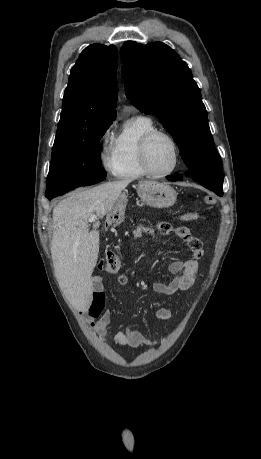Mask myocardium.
Wrapping results in <instances>:
<instances>
[{
	"mask_svg": "<svg viewBox=\"0 0 261 459\" xmlns=\"http://www.w3.org/2000/svg\"><path fill=\"white\" fill-rule=\"evenodd\" d=\"M158 136H163L167 138L171 142L174 149V164L169 171L164 173H157L153 171L149 162L150 145L152 141ZM139 155L141 165L146 174L155 178H165L172 175L177 170L180 163V148L178 142L176 141L174 136L171 135L169 132L159 129L152 130L143 136V138L140 141Z\"/></svg>",
	"mask_w": 261,
	"mask_h": 459,
	"instance_id": "obj_1",
	"label": "myocardium"
}]
</instances>
